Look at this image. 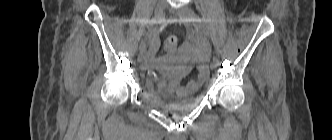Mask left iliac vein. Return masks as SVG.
<instances>
[{
  "instance_id": "left-iliac-vein-1",
  "label": "left iliac vein",
  "mask_w": 332,
  "mask_h": 140,
  "mask_svg": "<svg viewBox=\"0 0 332 140\" xmlns=\"http://www.w3.org/2000/svg\"><path fill=\"white\" fill-rule=\"evenodd\" d=\"M178 15L187 27L192 26L191 23L193 22L194 11L189 6L185 5L178 9ZM216 67L217 63L212 61L211 68L214 69Z\"/></svg>"
}]
</instances>
